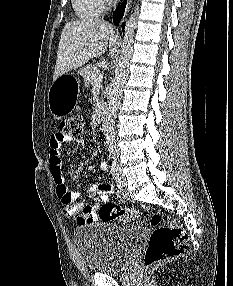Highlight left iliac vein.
Listing matches in <instances>:
<instances>
[{
	"label": "left iliac vein",
	"mask_w": 233,
	"mask_h": 286,
	"mask_svg": "<svg viewBox=\"0 0 233 286\" xmlns=\"http://www.w3.org/2000/svg\"><path fill=\"white\" fill-rule=\"evenodd\" d=\"M111 171L117 184L121 188H125L127 186L126 177L122 172V169L117 165L116 161L113 162Z\"/></svg>",
	"instance_id": "left-iliac-vein-1"
}]
</instances>
